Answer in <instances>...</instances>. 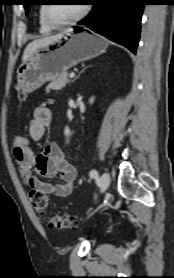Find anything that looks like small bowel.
I'll list each match as a JSON object with an SVG mask.
<instances>
[{
    "instance_id": "obj_1",
    "label": "small bowel",
    "mask_w": 174,
    "mask_h": 278,
    "mask_svg": "<svg viewBox=\"0 0 174 278\" xmlns=\"http://www.w3.org/2000/svg\"><path fill=\"white\" fill-rule=\"evenodd\" d=\"M51 120L52 114L49 108L45 106L35 108L29 123L30 138L35 142L40 141ZM13 153L21 178L31 191L38 190L46 195H54L61 198L67 197L72 193L77 170L66 160L62 149L57 143H49L40 153H36L30 143L22 149L14 146ZM35 173L47 178L58 175L61 182L50 183L42 181Z\"/></svg>"
}]
</instances>
